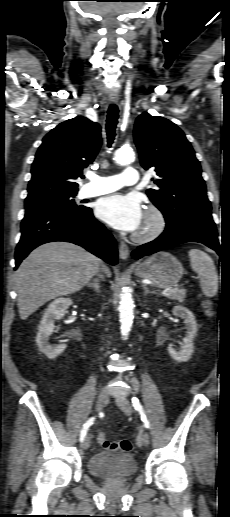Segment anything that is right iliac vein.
Wrapping results in <instances>:
<instances>
[{"instance_id":"63e3f726","label":"right iliac vein","mask_w":230,"mask_h":517,"mask_svg":"<svg viewBox=\"0 0 230 517\" xmlns=\"http://www.w3.org/2000/svg\"><path fill=\"white\" fill-rule=\"evenodd\" d=\"M109 400V392L107 389H102L98 395L96 410L101 411L108 403ZM90 447V438L86 436L82 443V448L87 450Z\"/></svg>"}]
</instances>
